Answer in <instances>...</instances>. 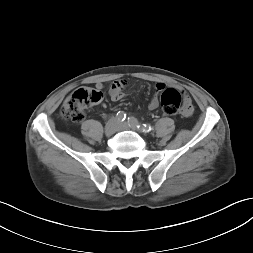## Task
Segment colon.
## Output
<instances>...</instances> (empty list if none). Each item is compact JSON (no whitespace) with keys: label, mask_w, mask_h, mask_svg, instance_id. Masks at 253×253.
Segmentation results:
<instances>
[{"label":"colon","mask_w":253,"mask_h":253,"mask_svg":"<svg viewBox=\"0 0 253 253\" xmlns=\"http://www.w3.org/2000/svg\"><path fill=\"white\" fill-rule=\"evenodd\" d=\"M101 90L91 87H81L71 93L63 103L61 116L75 123L85 117V110L102 100ZM162 111L165 115H175L182 105L181 93L174 88H165L160 96Z\"/></svg>","instance_id":"5ec220e1"}]
</instances>
